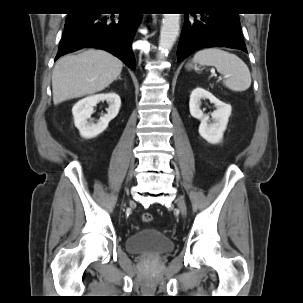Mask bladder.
Instances as JSON below:
<instances>
[{"label":"bladder","instance_id":"31cf9c89","mask_svg":"<svg viewBox=\"0 0 303 303\" xmlns=\"http://www.w3.org/2000/svg\"><path fill=\"white\" fill-rule=\"evenodd\" d=\"M175 248L174 241L165 234L149 227L129 235L125 249L128 253L162 255Z\"/></svg>","mask_w":303,"mask_h":303}]
</instances>
